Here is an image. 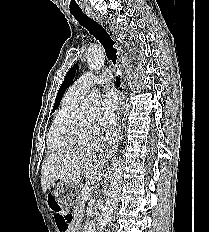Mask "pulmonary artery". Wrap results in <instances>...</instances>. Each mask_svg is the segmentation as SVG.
Here are the masks:
<instances>
[{"instance_id": "pulmonary-artery-1", "label": "pulmonary artery", "mask_w": 209, "mask_h": 232, "mask_svg": "<svg viewBox=\"0 0 209 232\" xmlns=\"http://www.w3.org/2000/svg\"><path fill=\"white\" fill-rule=\"evenodd\" d=\"M111 79L112 74L109 71L100 75H95L88 71L77 79V81L71 86L70 90L75 95L84 96L92 86L108 83Z\"/></svg>"}]
</instances>
